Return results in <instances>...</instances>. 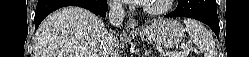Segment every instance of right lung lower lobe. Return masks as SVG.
<instances>
[{
    "mask_svg": "<svg viewBox=\"0 0 249 57\" xmlns=\"http://www.w3.org/2000/svg\"><path fill=\"white\" fill-rule=\"evenodd\" d=\"M80 6L90 10L100 17H105L108 9L106 0H38L34 23L38 28L42 20L54 10L64 6Z\"/></svg>",
    "mask_w": 249,
    "mask_h": 57,
    "instance_id": "right-lung-lower-lobe-1",
    "label": "right lung lower lobe"
}]
</instances>
